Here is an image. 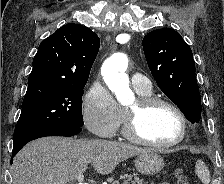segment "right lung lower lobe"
<instances>
[{"label":"right lung lower lobe","instance_id":"obj_1","mask_svg":"<svg viewBox=\"0 0 224 184\" xmlns=\"http://www.w3.org/2000/svg\"><path fill=\"white\" fill-rule=\"evenodd\" d=\"M81 128H72V127H45L35 130H31L22 134L19 138L14 140L12 158L17 154V152L28 142L45 137V136H74L81 132ZM12 163V161H11Z\"/></svg>","mask_w":224,"mask_h":184}]
</instances>
